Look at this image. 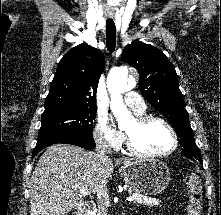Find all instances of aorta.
I'll return each instance as SVG.
<instances>
[{"label": "aorta", "instance_id": "1", "mask_svg": "<svg viewBox=\"0 0 221 215\" xmlns=\"http://www.w3.org/2000/svg\"><path fill=\"white\" fill-rule=\"evenodd\" d=\"M128 69L125 67L112 70L107 77V88L111 97L110 108L118 124L131 118V112L123 102L122 93L128 90Z\"/></svg>", "mask_w": 221, "mask_h": 215}]
</instances>
